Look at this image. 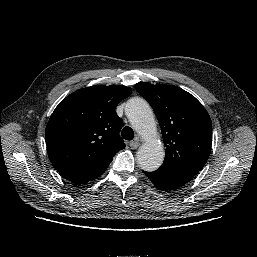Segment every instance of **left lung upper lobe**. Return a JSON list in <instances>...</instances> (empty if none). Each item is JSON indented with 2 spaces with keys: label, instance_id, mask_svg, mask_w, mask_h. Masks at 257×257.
Wrapping results in <instances>:
<instances>
[{
  "label": "left lung upper lobe",
  "instance_id": "left-lung-upper-lobe-1",
  "mask_svg": "<svg viewBox=\"0 0 257 257\" xmlns=\"http://www.w3.org/2000/svg\"><path fill=\"white\" fill-rule=\"evenodd\" d=\"M135 88L149 102L160 124L166 147L161 166L195 176L210 155L212 123L208 112L177 86L139 82Z\"/></svg>",
  "mask_w": 257,
  "mask_h": 257
}]
</instances>
